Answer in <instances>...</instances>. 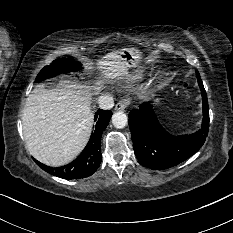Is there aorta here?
I'll return each instance as SVG.
<instances>
[{
  "mask_svg": "<svg viewBox=\"0 0 233 233\" xmlns=\"http://www.w3.org/2000/svg\"><path fill=\"white\" fill-rule=\"evenodd\" d=\"M112 123L116 128H124L128 123V117L124 112L117 111L112 115Z\"/></svg>",
  "mask_w": 233,
  "mask_h": 233,
  "instance_id": "aorta-1",
  "label": "aorta"
}]
</instances>
